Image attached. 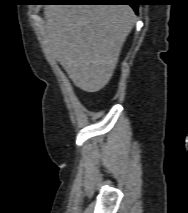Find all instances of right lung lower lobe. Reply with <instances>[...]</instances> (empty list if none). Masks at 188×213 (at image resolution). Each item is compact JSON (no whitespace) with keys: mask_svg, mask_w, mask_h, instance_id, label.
Segmentation results:
<instances>
[{"mask_svg":"<svg viewBox=\"0 0 188 213\" xmlns=\"http://www.w3.org/2000/svg\"><path fill=\"white\" fill-rule=\"evenodd\" d=\"M76 2H94L90 4H105V3H113V2H129V0H75ZM135 11H137L138 5H131Z\"/></svg>","mask_w":188,"mask_h":213,"instance_id":"right-lung-lower-lobe-1","label":"right lung lower lobe"}]
</instances>
